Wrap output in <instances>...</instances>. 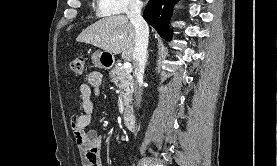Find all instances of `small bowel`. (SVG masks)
<instances>
[{
  "label": "small bowel",
  "instance_id": "small-bowel-1",
  "mask_svg": "<svg viewBox=\"0 0 277 166\" xmlns=\"http://www.w3.org/2000/svg\"><path fill=\"white\" fill-rule=\"evenodd\" d=\"M101 84L102 75L96 71L90 72L86 81L80 84L79 95L82 113L74 116L70 123L82 166H102L103 136L95 129H88L95 112L92 96L99 95Z\"/></svg>",
  "mask_w": 277,
  "mask_h": 166
}]
</instances>
